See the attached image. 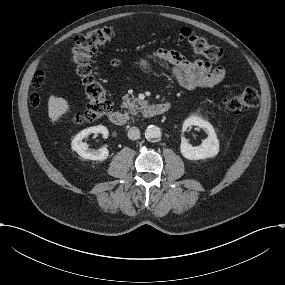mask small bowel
Returning a JSON list of instances; mask_svg holds the SVG:
<instances>
[{
    "label": "small bowel",
    "mask_w": 285,
    "mask_h": 285,
    "mask_svg": "<svg viewBox=\"0 0 285 285\" xmlns=\"http://www.w3.org/2000/svg\"><path fill=\"white\" fill-rule=\"evenodd\" d=\"M153 62H159L167 68L177 83L187 90L214 87L226 76V70L222 66L212 67L208 62L200 59L190 61L178 51L170 49L160 48L144 54L140 59V66L144 73L152 72Z\"/></svg>",
    "instance_id": "obj_1"
}]
</instances>
